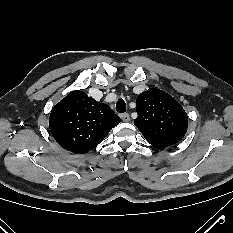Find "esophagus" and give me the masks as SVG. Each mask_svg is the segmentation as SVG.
I'll return each instance as SVG.
<instances>
[{
    "instance_id": "esophagus-1",
    "label": "esophagus",
    "mask_w": 233,
    "mask_h": 233,
    "mask_svg": "<svg viewBox=\"0 0 233 233\" xmlns=\"http://www.w3.org/2000/svg\"><path fill=\"white\" fill-rule=\"evenodd\" d=\"M121 118L124 122L130 121V115L128 113H124L121 115Z\"/></svg>"
}]
</instances>
